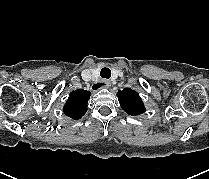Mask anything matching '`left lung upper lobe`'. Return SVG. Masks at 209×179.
I'll return each instance as SVG.
<instances>
[{"instance_id":"1","label":"left lung upper lobe","mask_w":209,"mask_h":179,"mask_svg":"<svg viewBox=\"0 0 209 179\" xmlns=\"http://www.w3.org/2000/svg\"><path fill=\"white\" fill-rule=\"evenodd\" d=\"M117 97L122 109L127 114L135 116L145 112L144 104L136 91L125 88L118 91Z\"/></svg>"}]
</instances>
